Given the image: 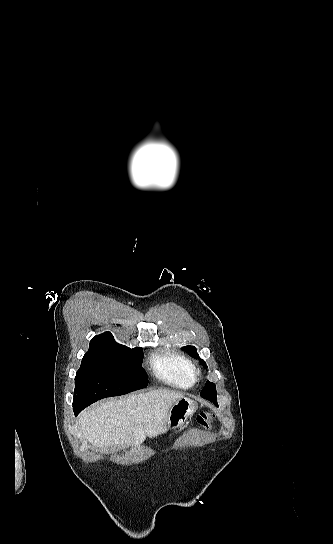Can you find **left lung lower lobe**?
I'll return each instance as SVG.
<instances>
[{
	"label": "left lung lower lobe",
	"instance_id": "obj_1",
	"mask_svg": "<svg viewBox=\"0 0 333 544\" xmlns=\"http://www.w3.org/2000/svg\"><path fill=\"white\" fill-rule=\"evenodd\" d=\"M203 398H204V399H207V400H210V401L213 402L216 406H218V403H217V394H216V393H211V394L204 395Z\"/></svg>",
	"mask_w": 333,
	"mask_h": 544
}]
</instances>
